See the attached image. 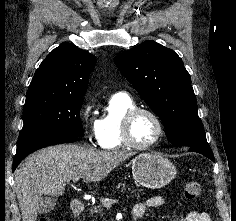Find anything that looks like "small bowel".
<instances>
[{
    "instance_id": "c3829d8e",
    "label": "small bowel",
    "mask_w": 236,
    "mask_h": 221,
    "mask_svg": "<svg viewBox=\"0 0 236 221\" xmlns=\"http://www.w3.org/2000/svg\"><path fill=\"white\" fill-rule=\"evenodd\" d=\"M165 204V199L160 196L149 198L138 202L133 207V215L136 219L143 217L150 208L161 207ZM175 221H211L210 216L202 211H190L180 215Z\"/></svg>"
}]
</instances>
